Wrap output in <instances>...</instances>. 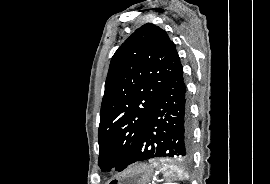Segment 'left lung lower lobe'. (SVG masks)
I'll return each instance as SVG.
<instances>
[{"instance_id": "1", "label": "left lung lower lobe", "mask_w": 270, "mask_h": 184, "mask_svg": "<svg viewBox=\"0 0 270 184\" xmlns=\"http://www.w3.org/2000/svg\"><path fill=\"white\" fill-rule=\"evenodd\" d=\"M191 156L192 125L180 63L160 93L126 167L151 158L171 157L189 161Z\"/></svg>"}]
</instances>
